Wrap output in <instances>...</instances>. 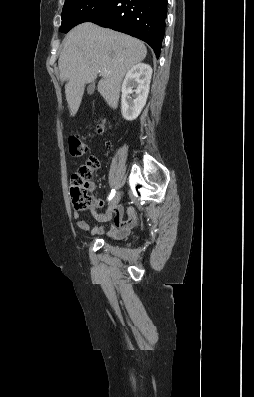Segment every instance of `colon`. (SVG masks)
<instances>
[{
  "mask_svg": "<svg viewBox=\"0 0 254 397\" xmlns=\"http://www.w3.org/2000/svg\"><path fill=\"white\" fill-rule=\"evenodd\" d=\"M96 130L99 133L108 130V124L102 120ZM69 151L72 156L80 157L87 151L86 143L78 136L72 135L68 139ZM99 167V161L95 157H90L85 164L81 165L77 172L71 177L70 195L76 210H86L93 208L97 202L89 192L90 182L94 171Z\"/></svg>",
  "mask_w": 254,
  "mask_h": 397,
  "instance_id": "obj_1",
  "label": "colon"
}]
</instances>
